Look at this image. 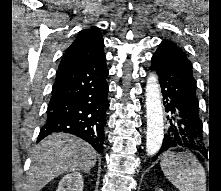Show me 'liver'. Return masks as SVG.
<instances>
[{
  "label": "liver",
  "instance_id": "1",
  "mask_svg": "<svg viewBox=\"0 0 221 191\" xmlns=\"http://www.w3.org/2000/svg\"><path fill=\"white\" fill-rule=\"evenodd\" d=\"M96 151L85 141L65 133L43 139L32 152L28 191H40L55 177L77 170L88 172L96 164Z\"/></svg>",
  "mask_w": 221,
  "mask_h": 191
}]
</instances>
